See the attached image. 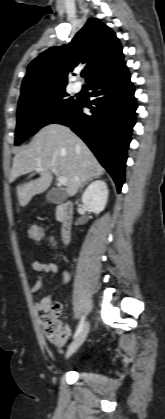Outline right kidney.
<instances>
[{"label": "right kidney", "mask_w": 165, "mask_h": 419, "mask_svg": "<svg viewBox=\"0 0 165 419\" xmlns=\"http://www.w3.org/2000/svg\"><path fill=\"white\" fill-rule=\"evenodd\" d=\"M108 194L106 182L97 180L87 187L82 195V202L91 212L97 215L105 209Z\"/></svg>", "instance_id": "ca27d5eb"}]
</instances>
